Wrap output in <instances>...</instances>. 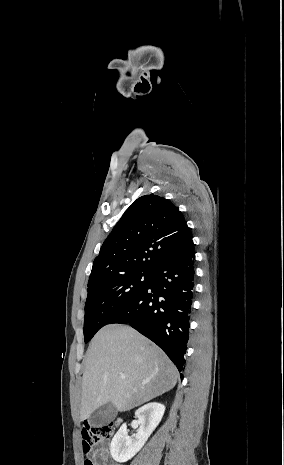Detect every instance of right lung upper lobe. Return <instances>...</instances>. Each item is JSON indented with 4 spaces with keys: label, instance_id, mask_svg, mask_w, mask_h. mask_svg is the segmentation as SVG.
Masks as SVG:
<instances>
[{
    "label": "right lung upper lobe",
    "instance_id": "right-lung-upper-lobe-1",
    "mask_svg": "<svg viewBox=\"0 0 284 465\" xmlns=\"http://www.w3.org/2000/svg\"><path fill=\"white\" fill-rule=\"evenodd\" d=\"M192 241L179 209L158 195L138 198L123 214L94 259L91 288L128 274H152Z\"/></svg>",
    "mask_w": 284,
    "mask_h": 465
}]
</instances>
